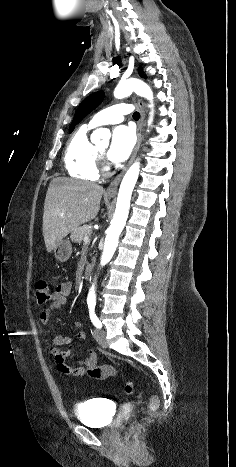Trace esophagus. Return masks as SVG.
<instances>
[{
	"label": "esophagus",
	"mask_w": 236,
	"mask_h": 467,
	"mask_svg": "<svg viewBox=\"0 0 236 467\" xmlns=\"http://www.w3.org/2000/svg\"><path fill=\"white\" fill-rule=\"evenodd\" d=\"M137 105H138V109H139V112H140V120L138 122V128H137V143H136V146H135L134 151L132 153V156H131V158L129 160L128 165L123 169V171L108 186V188H107V190L105 192V194H107V195H115L117 193L118 185H119L124 173L126 172L129 165L133 162V160L135 159V156H136V154L138 152V149H139V146H140V143H141L142 126H143V122H144V118H145V104L141 99H138Z\"/></svg>",
	"instance_id": "esophagus-1"
}]
</instances>
